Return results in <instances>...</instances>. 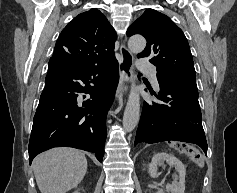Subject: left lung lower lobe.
Listing matches in <instances>:
<instances>
[{"label": "left lung lower lobe", "mask_w": 237, "mask_h": 193, "mask_svg": "<svg viewBox=\"0 0 237 193\" xmlns=\"http://www.w3.org/2000/svg\"><path fill=\"white\" fill-rule=\"evenodd\" d=\"M156 95L162 104L144 102L135 145L140 142L182 141L199 145L207 155L197 86L161 83Z\"/></svg>", "instance_id": "obj_1"}]
</instances>
